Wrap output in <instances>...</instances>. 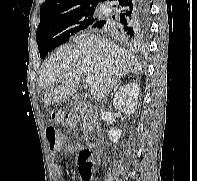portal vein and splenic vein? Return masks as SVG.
<instances>
[{
  "label": "portal vein and splenic vein",
  "instance_id": "portal-vein-and-splenic-vein-1",
  "mask_svg": "<svg viewBox=\"0 0 197 181\" xmlns=\"http://www.w3.org/2000/svg\"><path fill=\"white\" fill-rule=\"evenodd\" d=\"M94 80H95V78H94L93 75L89 74V75L86 76V83L87 84L92 85L94 83Z\"/></svg>",
  "mask_w": 197,
  "mask_h": 181
}]
</instances>
